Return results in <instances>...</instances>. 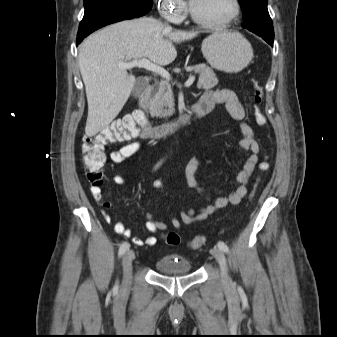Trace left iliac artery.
<instances>
[{"instance_id":"obj_1","label":"left iliac artery","mask_w":337,"mask_h":337,"mask_svg":"<svg viewBox=\"0 0 337 337\" xmlns=\"http://www.w3.org/2000/svg\"><path fill=\"white\" fill-rule=\"evenodd\" d=\"M217 247H218L221 251H223V252H225V253H228V252H229L228 246H227L224 242H222V241H219V242L217 243Z\"/></svg>"}]
</instances>
